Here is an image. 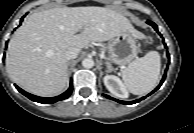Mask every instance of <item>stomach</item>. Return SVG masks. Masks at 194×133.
<instances>
[{
  "label": "stomach",
  "mask_w": 194,
  "mask_h": 133,
  "mask_svg": "<svg viewBox=\"0 0 194 133\" xmlns=\"http://www.w3.org/2000/svg\"><path fill=\"white\" fill-rule=\"evenodd\" d=\"M104 50L110 63L127 65L137 56L138 46L134 34L125 31L112 38Z\"/></svg>",
  "instance_id": "stomach-1"
}]
</instances>
